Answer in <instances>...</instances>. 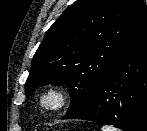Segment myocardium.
<instances>
[{"label": "myocardium", "instance_id": "f54148a6", "mask_svg": "<svg viewBox=\"0 0 147 131\" xmlns=\"http://www.w3.org/2000/svg\"><path fill=\"white\" fill-rule=\"evenodd\" d=\"M71 101L70 92L61 85H49L37 95V104L45 112H58L65 109Z\"/></svg>", "mask_w": 147, "mask_h": 131}]
</instances>
